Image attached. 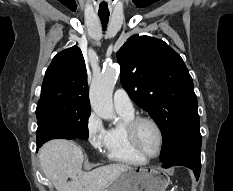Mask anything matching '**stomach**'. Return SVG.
I'll list each match as a JSON object with an SVG mask.
<instances>
[{
    "label": "stomach",
    "instance_id": "0dacf381",
    "mask_svg": "<svg viewBox=\"0 0 233 191\" xmlns=\"http://www.w3.org/2000/svg\"><path fill=\"white\" fill-rule=\"evenodd\" d=\"M170 178L156 168L129 167L101 191H166Z\"/></svg>",
    "mask_w": 233,
    "mask_h": 191
}]
</instances>
